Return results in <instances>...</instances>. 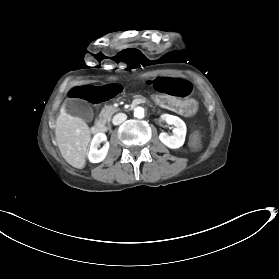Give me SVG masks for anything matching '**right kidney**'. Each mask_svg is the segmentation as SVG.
I'll list each match as a JSON object with an SVG mask.
<instances>
[{
	"instance_id": "1",
	"label": "right kidney",
	"mask_w": 279,
	"mask_h": 279,
	"mask_svg": "<svg viewBox=\"0 0 279 279\" xmlns=\"http://www.w3.org/2000/svg\"><path fill=\"white\" fill-rule=\"evenodd\" d=\"M106 135L104 133H97L94 135L89 153H88V160L91 163H99L102 162L108 153L109 150V144H106L103 148L98 150L100 144L106 140Z\"/></svg>"
}]
</instances>
